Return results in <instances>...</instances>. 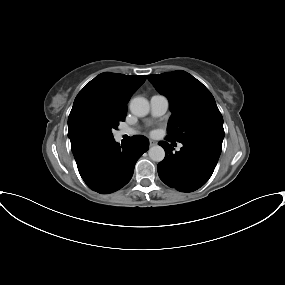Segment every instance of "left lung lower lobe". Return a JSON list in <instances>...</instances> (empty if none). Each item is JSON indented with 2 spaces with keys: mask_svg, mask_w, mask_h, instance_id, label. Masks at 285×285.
<instances>
[{
  "mask_svg": "<svg viewBox=\"0 0 285 285\" xmlns=\"http://www.w3.org/2000/svg\"><path fill=\"white\" fill-rule=\"evenodd\" d=\"M182 144L180 151L173 153V147L167 142H159L166 155L164 160L158 163L157 170L160 179L169 187L181 192H192L203 186L211 177L222 146L212 142Z\"/></svg>",
  "mask_w": 285,
  "mask_h": 285,
  "instance_id": "left-lung-lower-lobe-1",
  "label": "left lung lower lobe"
}]
</instances>
